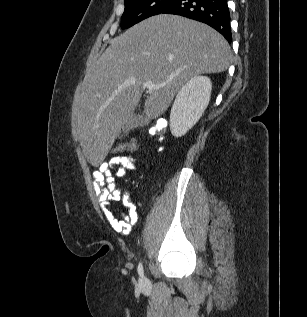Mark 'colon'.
Returning <instances> with one entry per match:
<instances>
[{"label": "colon", "instance_id": "obj_1", "mask_svg": "<svg viewBox=\"0 0 307 317\" xmlns=\"http://www.w3.org/2000/svg\"><path fill=\"white\" fill-rule=\"evenodd\" d=\"M167 122L164 119H158L150 129V136L156 141H163L166 136ZM138 148V142L135 138H130L124 143H117L111 149L113 156L133 154Z\"/></svg>", "mask_w": 307, "mask_h": 317}]
</instances>
